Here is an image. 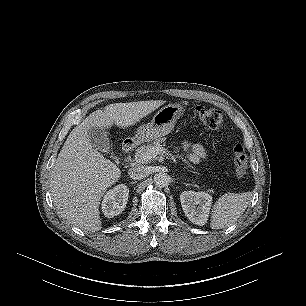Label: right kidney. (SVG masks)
Returning <instances> with one entry per match:
<instances>
[{"label":"right kidney","instance_id":"obj_1","mask_svg":"<svg viewBox=\"0 0 306 306\" xmlns=\"http://www.w3.org/2000/svg\"><path fill=\"white\" fill-rule=\"evenodd\" d=\"M129 189L124 184H119L107 191L102 201V212L105 217L112 218L119 215L126 207Z\"/></svg>","mask_w":306,"mask_h":306}]
</instances>
